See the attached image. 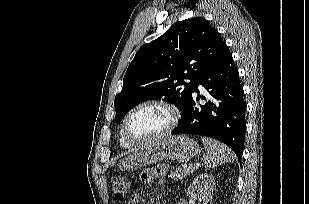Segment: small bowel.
Returning a JSON list of instances; mask_svg holds the SVG:
<instances>
[{
	"label": "small bowel",
	"mask_w": 309,
	"mask_h": 204,
	"mask_svg": "<svg viewBox=\"0 0 309 204\" xmlns=\"http://www.w3.org/2000/svg\"><path fill=\"white\" fill-rule=\"evenodd\" d=\"M165 170H166L165 166H161V167H157V168H148L141 173V180L144 183H148V182L152 181L157 175L164 172ZM139 201H140V195L134 194L131 197L129 204H139Z\"/></svg>",
	"instance_id": "1"
}]
</instances>
